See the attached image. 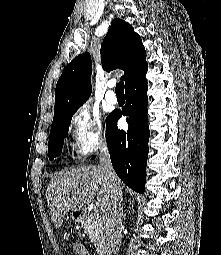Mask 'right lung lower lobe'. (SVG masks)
<instances>
[{"instance_id":"1","label":"right lung lower lobe","mask_w":221,"mask_h":255,"mask_svg":"<svg viewBox=\"0 0 221 255\" xmlns=\"http://www.w3.org/2000/svg\"><path fill=\"white\" fill-rule=\"evenodd\" d=\"M147 69L146 64L125 85L126 105L122 112L111 114L106 125V141L113 168L128 187L140 193L145 191L149 141L145 78ZM122 115L128 116L127 131L120 130L117 126V121Z\"/></svg>"}]
</instances>
